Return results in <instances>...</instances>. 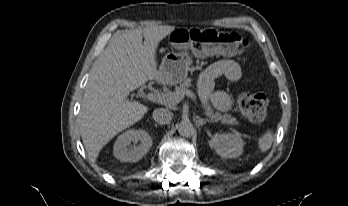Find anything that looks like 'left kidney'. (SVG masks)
Here are the masks:
<instances>
[{"instance_id":"1","label":"left kidney","mask_w":348,"mask_h":206,"mask_svg":"<svg viewBox=\"0 0 348 206\" xmlns=\"http://www.w3.org/2000/svg\"><path fill=\"white\" fill-rule=\"evenodd\" d=\"M209 146L223 158H236L243 153L244 141L238 132L216 133L209 141Z\"/></svg>"}]
</instances>
